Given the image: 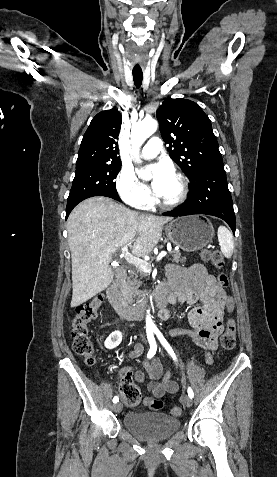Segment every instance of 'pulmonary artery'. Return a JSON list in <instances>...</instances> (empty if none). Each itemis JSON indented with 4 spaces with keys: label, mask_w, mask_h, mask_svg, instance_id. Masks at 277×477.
Listing matches in <instances>:
<instances>
[{
    "label": "pulmonary artery",
    "mask_w": 277,
    "mask_h": 477,
    "mask_svg": "<svg viewBox=\"0 0 277 477\" xmlns=\"http://www.w3.org/2000/svg\"><path fill=\"white\" fill-rule=\"evenodd\" d=\"M162 148V141L159 137H151L149 141L142 148V157L149 159L158 155Z\"/></svg>",
    "instance_id": "pulmonary-artery-1"
}]
</instances>
